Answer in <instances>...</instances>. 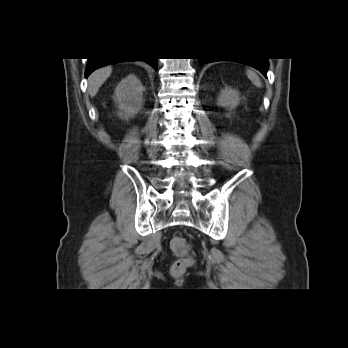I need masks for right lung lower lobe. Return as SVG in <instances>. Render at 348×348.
I'll use <instances>...</instances> for the list:
<instances>
[{
	"mask_svg": "<svg viewBox=\"0 0 348 348\" xmlns=\"http://www.w3.org/2000/svg\"><path fill=\"white\" fill-rule=\"evenodd\" d=\"M121 61H132V60H114V59H109V58H89L88 59V63H87V67H86V71H85V75L86 77L89 76V74L91 72H93L94 70L112 64V63H116V62H121ZM145 62H147L149 65H151L155 70L157 69V58H148L143 60Z\"/></svg>",
	"mask_w": 348,
	"mask_h": 348,
	"instance_id": "obj_1",
	"label": "right lung lower lobe"
}]
</instances>
